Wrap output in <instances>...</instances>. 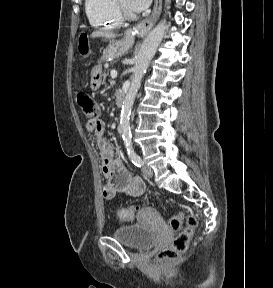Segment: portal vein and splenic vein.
<instances>
[{"instance_id":"18ae733b","label":"portal vein and splenic vein","mask_w":273,"mask_h":288,"mask_svg":"<svg viewBox=\"0 0 273 288\" xmlns=\"http://www.w3.org/2000/svg\"><path fill=\"white\" fill-rule=\"evenodd\" d=\"M116 77H117V71L113 69V70L111 71V78L114 79V78H116Z\"/></svg>"}]
</instances>
